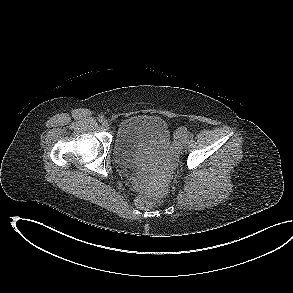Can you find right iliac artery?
I'll return each mask as SVG.
<instances>
[{
  "label": "right iliac artery",
  "instance_id": "82829eb1",
  "mask_svg": "<svg viewBox=\"0 0 293 293\" xmlns=\"http://www.w3.org/2000/svg\"><path fill=\"white\" fill-rule=\"evenodd\" d=\"M103 120H104V117H103L102 115H99V116H98V121H99V122H103Z\"/></svg>",
  "mask_w": 293,
  "mask_h": 293
}]
</instances>
